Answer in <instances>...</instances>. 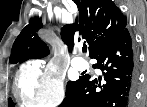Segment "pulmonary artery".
<instances>
[{
  "label": "pulmonary artery",
  "instance_id": "1",
  "mask_svg": "<svg viewBox=\"0 0 147 107\" xmlns=\"http://www.w3.org/2000/svg\"><path fill=\"white\" fill-rule=\"evenodd\" d=\"M72 65L79 70H83L87 67L86 61L81 57H76L72 61Z\"/></svg>",
  "mask_w": 147,
  "mask_h": 107
}]
</instances>
